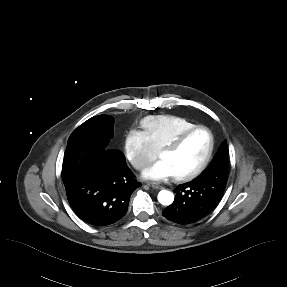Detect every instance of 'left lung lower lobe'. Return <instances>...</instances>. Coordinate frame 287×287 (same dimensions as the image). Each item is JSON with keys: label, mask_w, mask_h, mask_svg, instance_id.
Masks as SVG:
<instances>
[{"label": "left lung lower lobe", "mask_w": 287, "mask_h": 287, "mask_svg": "<svg viewBox=\"0 0 287 287\" xmlns=\"http://www.w3.org/2000/svg\"><path fill=\"white\" fill-rule=\"evenodd\" d=\"M216 175L210 182L193 180L177 186L175 200L163 210V216L179 224L193 223L207 216L220 201L227 182L222 173Z\"/></svg>", "instance_id": "1"}]
</instances>
